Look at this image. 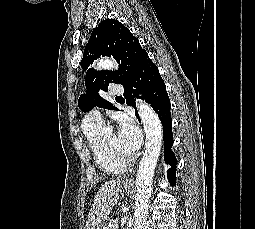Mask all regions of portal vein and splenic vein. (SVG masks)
I'll list each match as a JSON object with an SVG mask.
<instances>
[{
	"label": "portal vein and splenic vein",
	"instance_id": "portal-vein-and-splenic-vein-1",
	"mask_svg": "<svg viewBox=\"0 0 255 229\" xmlns=\"http://www.w3.org/2000/svg\"><path fill=\"white\" fill-rule=\"evenodd\" d=\"M114 229H118V224H115V225H114Z\"/></svg>",
	"mask_w": 255,
	"mask_h": 229
}]
</instances>
